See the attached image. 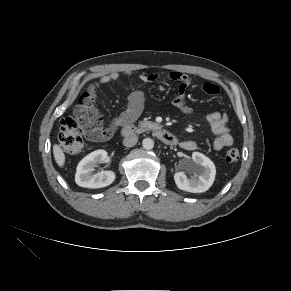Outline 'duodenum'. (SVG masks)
Here are the masks:
<instances>
[{
    "instance_id": "obj_1",
    "label": "duodenum",
    "mask_w": 291,
    "mask_h": 291,
    "mask_svg": "<svg viewBox=\"0 0 291 291\" xmlns=\"http://www.w3.org/2000/svg\"><path fill=\"white\" fill-rule=\"evenodd\" d=\"M142 131H143V128L139 126H135L132 124H125L122 127L121 133L123 136L127 137V136L138 134ZM153 134L166 145H174L177 142L176 137L171 132L163 128L155 127L153 129Z\"/></svg>"
}]
</instances>
